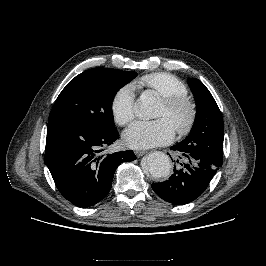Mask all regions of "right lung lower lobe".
<instances>
[{"mask_svg":"<svg viewBox=\"0 0 266 266\" xmlns=\"http://www.w3.org/2000/svg\"><path fill=\"white\" fill-rule=\"evenodd\" d=\"M118 137L115 129L48 121L44 161L63 197L82 208L106 197L117 167L137 158L132 150L103 153Z\"/></svg>","mask_w":266,"mask_h":266,"instance_id":"1","label":"right lung lower lobe"}]
</instances>
